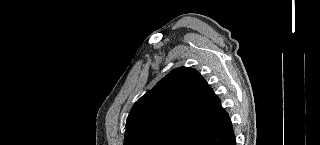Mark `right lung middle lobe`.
<instances>
[{"label":"right lung middle lobe","instance_id":"dd1d6c3e","mask_svg":"<svg viewBox=\"0 0 320 145\" xmlns=\"http://www.w3.org/2000/svg\"><path fill=\"white\" fill-rule=\"evenodd\" d=\"M176 131H165L149 135L139 141L136 145H167V143L177 134Z\"/></svg>","mask_w":320,"mask_h":145}]
</instances>
